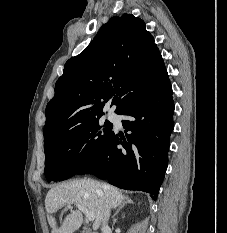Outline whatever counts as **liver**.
<instances>
[{
	"instance_id": "liver-1",
	"label": "liver",
	"mask_w": 227,
	"mask_h": 233,
	"mask_svg": "<svg viewBox=\"0 0 227 233\" xmlns=\"http://www.w3.org/2000/svg\"><path fill=\"white\" fill-rule=\"evenodd\" d=\"M129 200L121 191L109 184L101 183L89 178L73 180L51 188L45 198L48 222L52 233H74L83 222L80 210H71L63 224L58 228L55 214L68 204H80L95 215L93 230L99 229L104 218L105 210L115 209Z\"/></svg>"
}]
</instances>
